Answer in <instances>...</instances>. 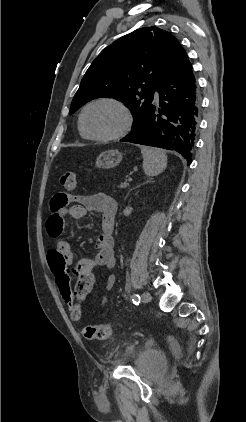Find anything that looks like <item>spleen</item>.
<instances>
[{
	"mask_svg": "<svg viewBox=\"0 0 246 422\" xmlns=\"http://www.w3.org/2000/svg\"><path fill=\"white\" fill-rule=\"evenodd\" d=\"M143 169L147 176H156L167 167V155L158 148L142 147Z\"/></svg>",
	"mask_w": 246,
	"mask_h": 422,
	"instance_id": "obj_1",
	"label": "spleen"
}]
</instances>
